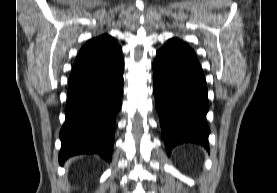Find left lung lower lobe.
I'll list each match as a JSON object with an SVG mask.
<instances>
[{
  "mask_svg": "<svg viewBox=\"0 0 277 193\" xmlns=\"http://www.w3.org/2000/svg\"><path fill=\"white\" fill-rule=\"evenodd\" d=\"M153 70L155 105L167 153L183 142L209 150L208 90L195 52L172 38L157 51Z\"/></svg>",
  "mask_w": 277,
  "mask_h": 193,
  "instance_id": "1",
  "label": "left lung lower lobe"
}]
</instances>
